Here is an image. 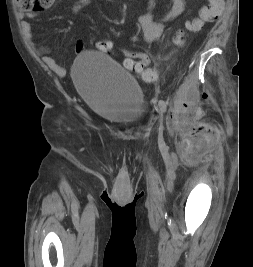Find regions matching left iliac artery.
<instances>
[{
	"label": "left iliac artery",
	"mask_w": 253,
	"mask_h": 267,
	"mask_svg": "<svg viewBox=\"0 0 253 267\" xmlns=\"http://www.w3.org/2000/svg\"><path fill=\"white\" fill-rule=\"evenodd\" d=\"M159 108L161 112H165L167 109V104L164 100L159 101Z\"/></svg>",
	"instance_id": "left-iliac-artery-1"
}]
</instances>
